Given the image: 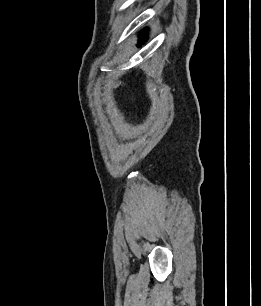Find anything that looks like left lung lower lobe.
Returning <instances> with one entry per match:
<instances>
[{"label": "left lung lower lobe", "instance_id": "1", "mask_svg": "<svg viewBox=\"0 0 261 306\" xmlns=\"http://www.w3.org/2000/svg\"><path fill=\"white\" fill-rule=\"evenodd\" d=\"M141 38H142V39H145V37H144V36H141Z\"/></svg>", "mask_w": 261, "mask_h": 306}]
</instances>
